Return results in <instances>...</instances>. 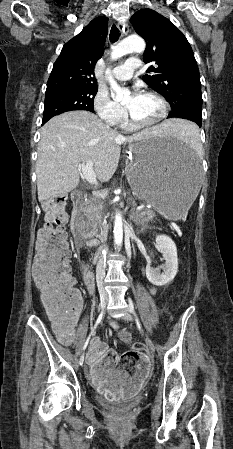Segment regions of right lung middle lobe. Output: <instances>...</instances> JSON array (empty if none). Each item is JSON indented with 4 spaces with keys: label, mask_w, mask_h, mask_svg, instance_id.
Instances as JSON below:
<instances>
[{
    "label": "right lung middle lobe",
    "mask_w": 233,
    "mask_h": 449,
    "mask_svg": "<svg viewBox=\"0 0 233 449\" xmlns=\"http://www.w3.org/2000/svg\"><path fill=\"white\" fill-rule=\"evenodd\" d=\"M97 87L60 89L46 93L43 123L63 112L87 110L94 112L93 102Z\"/></svg>",
    "instance_id": "dd1d6c3e"
}]
</instances>
